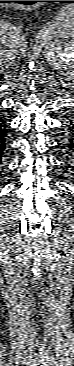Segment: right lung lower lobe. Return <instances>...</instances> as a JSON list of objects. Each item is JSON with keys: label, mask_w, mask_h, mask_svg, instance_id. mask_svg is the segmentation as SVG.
<instances>
[{"label": "right lung lower lobe", "mask_w": 74, "mask_h": 366, "mask_svg": "<svg viewBox=\"0 0 74 366\" xmlns=\"http://www.w3.org/2000/svg\"><path fill=\"white\" fill-rule=\"evenodd\" d=\"M7 132L5 121L0 117V163L7 145Z\"/></svg>", "instance_id": "obj_1"}]
</instances>
